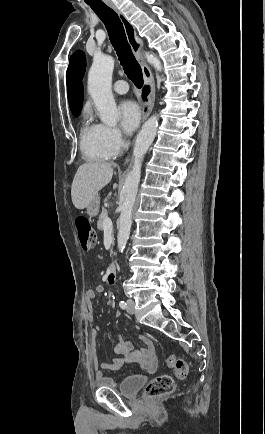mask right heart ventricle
<instances>
[{
  "label": "right heart ventricle",
  "mask_w": 265,
  "mask_h": 434,
  "mask_svg": "<svg viewBox=\"0 0 265 434\" xmlns=\"http://www.w3.org/2000/svg\"><path fill=\"white\" fill-rule=\"evenodd\" d=\"M79 119L80 149L85 160L89 163H97L114 159L117 154L109 153L100 142L99 125L94 123L93 114L88 106L81 110Z\"/></svg>",
  "instance_id": "right-heart-ventricle-1"
}]
</instances>
